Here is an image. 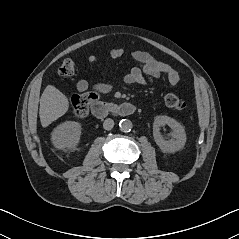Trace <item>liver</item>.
Here are the masks:
<instances>
[{"label": "liver", "instance_id": "1", "mask_svg": "<svg viewBox=\"0 0 239 239\" xmlns=\"http://www.w3.org/2000/svg\"><path fill=\"white\" fill-rule=\"evenodd\" d=\"M69 108L68 98L53 85H48L40 98L39 116L43 127L63 116Z\"/></svg>", "mask_w": 239, "mask_h": 239}]
</instances>
